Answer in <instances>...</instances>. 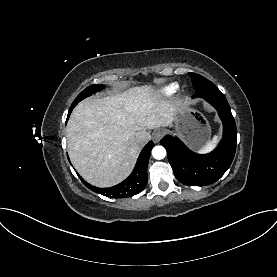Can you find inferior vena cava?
Segmentation results:
<instances>
[{"mask_svg": "<svg viewBox=\"0 0 277 277\" xmlns=\"http://www.w3.org/2000/svg\"><path fill=\"white\" fill-rule=\"evenodd\" d=\"M134 137L137 143L143 144L150 138V134L146 130H140L135 133Z\"/></svg>", "mask_w": 277, "mask_h": 277, "instance_id": "602c4592", "label": "inferior vena cava"}]
</instances>
